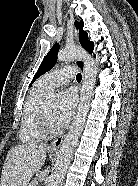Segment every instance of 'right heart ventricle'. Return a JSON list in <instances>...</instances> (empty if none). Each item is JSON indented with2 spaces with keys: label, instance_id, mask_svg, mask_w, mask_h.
<instances>
[{
  "label": "right heart ventricle",
  "instance_id": "right-heart-ventricle-1",
  "mask_svg": "<svg viewBox=\"0 0 138 186\" xmlns=\"http://www.w3.org/2000/svg\"><path fill=\"white\" fill-rule=\"evenodd\" d=\"M48 91L49 89L39 80L27 98L18 132L19 139L24 144H33L46 137L37 126V117Z\"/></svg>",
  "mask_w": 138,
  "mask_h": 186
}]
</instances>
